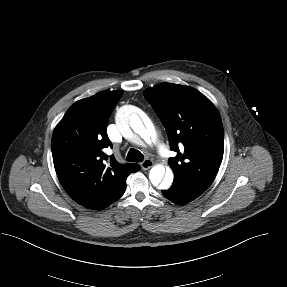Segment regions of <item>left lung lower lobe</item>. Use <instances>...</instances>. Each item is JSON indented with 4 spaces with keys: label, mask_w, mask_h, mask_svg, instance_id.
<instances>
[{
    "label": "left lung lower lobe",
    "mask_w": 287,
    "mask_h": 287,
    "mask_svg": "<svg viewBox=\"0 0 287 287\" xmlns=\"http://www.w3.org/2000/svg\"><path fill=\"white\" fill-rule=\"evenodd\" d=\"M162 193L166 198L179 205L187 204L201 195L178 181H174L172 186L168 190H162Z\"/></svg>",
    "instance_id": "1"
}]
</instances>
